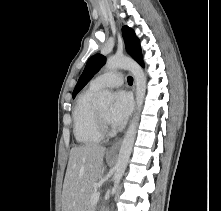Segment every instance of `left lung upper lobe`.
Masks as SVG:
<instances>
[{"label": "left lung upper lobe", "instance_id": "1", "mask_svg": "<svg viewBox=\"0 0 221 211\" xmlns=\"http://www.w3.org/2000/svg\"><path fill=\"white\" fill-rule=\"evenodd\" d=\"M122 34L127 52L139 64L143 63L140 42L139 39L136 37L134 31L127 26H123ZM104 63L105 57L101 54H95L88 60L86 67L74 89L73 98H75L76 94L88 83V81L92 79L94 74H96L99 71V69L104 65Z\"/></svg>", "mask_w": 221, "mask_h": 211}]
</instances>
